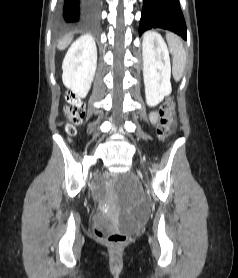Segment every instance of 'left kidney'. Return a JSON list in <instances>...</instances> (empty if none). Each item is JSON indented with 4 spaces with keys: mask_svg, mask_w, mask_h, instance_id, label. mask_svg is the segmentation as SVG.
I'll return each instance as SVG.
<instances>
[{
    "mask_svg": "<svg viewBox=\"0 0 238 278\" xmlns=\"http://www.w3.org/2000/svg\"><path fill=\"white\" fill-rule=\"evenodd\" d=\"M142 56L146 103L154 107L172 91L169 52L160 35L147 33L144 36Z\"/></svg>",
    "mask_w": 238,
    "mask_h": 278,
    "instance_id": "1",
    "label": "left kidney"
}]
</instances>
